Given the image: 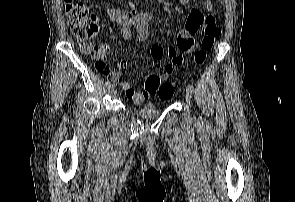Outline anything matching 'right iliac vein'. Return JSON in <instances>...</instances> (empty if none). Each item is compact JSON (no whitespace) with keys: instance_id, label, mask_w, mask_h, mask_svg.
I'll return each instance as SVG.
<instances>
[{"instance_id":"63e3f726","label":"right iliac vein","mask_w":295,"mask_h":202,"mask_svg":"<svg viewBox=\"0 0 295 202\" xmlns=\"http://www.w3.org/2000/svg\"><path fill=\"white\" fill-rule=\"evenodd\" d=\"M108 91L109 92H114V86L113 85L108 86Z\"/></svg>"}]
</instances>
